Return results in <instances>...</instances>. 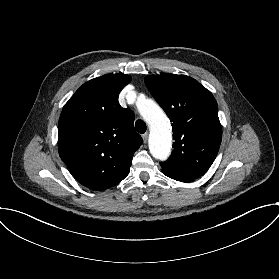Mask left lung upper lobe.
Instances as JSON below:
<instances>
[{
    "label": "left lung upper lobe",
    "mask_w": 279,
    "mask_h": 279,
    "mask_svg": "<svg viewBox=\"0 0 279 279\" xmlns=\"http://www.w3.org/2000/svg\"><path fill=\"white\" fill-rule=\"evenodd\" d=\"M145 84L173 122L174 150L160 163L162 170L192 182L209 169L220 147L217 102L197 80L186 75H147Z\"/></svg>",
    "instance_id": "5c2ea615"
}]
</instances>
